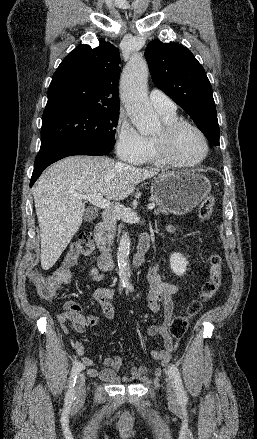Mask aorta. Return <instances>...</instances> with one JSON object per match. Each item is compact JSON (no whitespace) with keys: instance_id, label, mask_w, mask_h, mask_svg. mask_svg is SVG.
<instances>
[{"instance_id":"obj_1","label":"aorta","mask_w":257,"mask_h":439,"mask_svg":"<svg viewBox=\"0 0 257 439\" xmlns=\"http://www.w3.org/2000/svg\"><path fill=\"white\" fill-rule=\"evenodd\" d=\"M148 66L139 55H133L120 82V96L133 125L140 134H150L159 129L160 121L152 109L147 95ZM131 241L124 232L117 251L118 275L121 283L128 284L127 266Z\"/></svg>"}]
</instances>
